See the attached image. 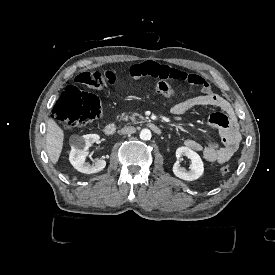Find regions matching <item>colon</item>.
I'll list each match as a JSON object with an SVG mask.
<instances>
[{
  "mask_svg": "<svg viewBox=\"0 0 275 275\" xmlns=\"http://www.w3.org/2000/svg\"><path fill=\"white\" fill-rule=\"evenodd\" d=\"M76 81L81 88H90L91 92H104L105 83L102 72H90L82 68L76 74ZM152 93L160 98H170L176 95L172 85L162 80L155 81L151 86ZM101 111L100 99L92 93L80 90L75 86L66 87L53 105L54 119L63 127L79 129L89 122L99 118ZM230 168L223 165L220 169L222 175H227Z\"/></svg>",
  "mask_w": 275,
  "mask_h": 275,
  "instance_id": "1",
  "label": "colon"
}]
</instances>
